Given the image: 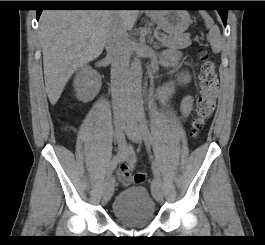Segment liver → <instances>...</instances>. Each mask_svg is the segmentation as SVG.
<instances>
[{"label":"liver","instance_id":"6515ba94","mask_svg":"<svg viewBox=\"0 0 265 245\" xmlns=\"http://www.w3.org/2000/svg\"><path fill=\"white\" fill-rule=\"evenodd\" d=\"M138 11L45 10L40 17L39 39L49 101L55 105L73 73L98 58L106 32L115 17L131 30Z\"/></svg>","mask_w":265,"mask_h":245}]
</instances>
